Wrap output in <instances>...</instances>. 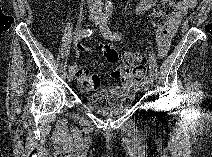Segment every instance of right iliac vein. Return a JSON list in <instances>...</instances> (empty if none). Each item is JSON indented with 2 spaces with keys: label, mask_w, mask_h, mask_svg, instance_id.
<instances>
[{
  "label": "right iliac vein",
  "mask_w": 212,
  "mask_h": 157,
  "mask_svg": "<svg viewBox=\"0 0 212 157\" xmlns=\"http://www.w3.org/2000/svg\"><path fill=\"white\" fill-rule=\"evenodd\" d=\"M89 20L97 22L99 20V17L96 14H90L89 15ZM73 77H74V71H70L68 73V76H67L68 80L72 81Z\"/></svg>",
  "instance_id": "obj_1"
}]
</instances>
